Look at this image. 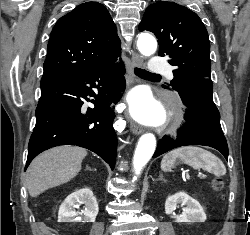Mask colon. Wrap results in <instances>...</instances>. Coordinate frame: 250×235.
<instances>
[{
  "mask_svg": "<svg viewBox=\"0 0 250 235\" xmlns=\"http://www.w3.org/2000/svg\"><path fill=\"white\" fill-rule=\"evenodd\" d=\"M213 185H214V188L215 189H220L222 187V181L220 179H216L214 182H213Z\"/></svg>",
  "mask_w": 250,
  "mask_h": 235,
  "instance_id": "colon-1",
  "label": "colon"
}]
</instances>
